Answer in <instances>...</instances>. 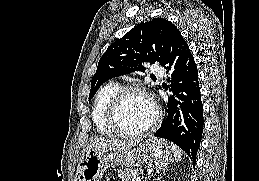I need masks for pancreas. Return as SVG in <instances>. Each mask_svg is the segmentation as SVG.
<instances>
[{
  "label": "pancreas",
  "mask_w": 259,
  "mask_h": 181,
  "mask_svg": "<svg viewBox=\"0 0 259 181\" xmlns=\"http://www.w3.org/2000/svg\"><path fill=\"white\" fill-rule=\"evenodd\" d=\"M141 173V169L127 168L118 170L117 176L121 181H131Z\"/></svg>",
  "instance_id": "obj_1"
}]
</instances>
